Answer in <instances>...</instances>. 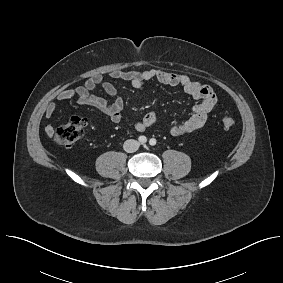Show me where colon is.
I'll list each match as a JSON object with an SVG mask.
<instances>
[{
  "label": "colon",
  "mask_w": 283,
  "mask_h": 283,
  "mask_svg": "<svg viewBox=\"0 0 283 283\" xmlns=\"http://www.w3.org/2000/svg\"><path fill=\"white\" fill-rule=\"evenodd\" d=\"M221 123L225 128H231L235 125V120L232 117L224 116ZM85 126L86 123L82 118H72L55 129L54 140L66 148L73 147L83 136Z\"/></svg>",
  "instance_id": "obj_1"
}]
</instances>
